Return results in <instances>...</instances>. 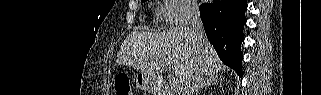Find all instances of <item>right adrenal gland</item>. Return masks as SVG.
Returning a JSON list of instances; mask_svg holds the SVG:
<instances>
[{
	"mask_svg": "<svg viewBox=\"0 0 321 95\" xmlns=\"http://www.w3.org/2000/svg\"><path fill=\"white\" fill-rule=\"evenodd\" d=\"M217 82H218L217 77L211 76V77H209V78H206V79L202 82V84L200 85V87L198 88V90L203 89L204 87H205V88H206V87H209V86H211V84H212V85H215V84H217Z\"/></svg>",
	"mask_w": 321,
	"mask_h": 95,
	"instance_id": "1",
	"label": "right adrenal gland"
}]
</instances>
